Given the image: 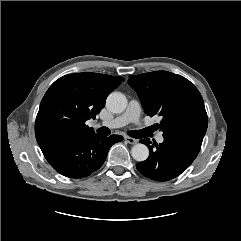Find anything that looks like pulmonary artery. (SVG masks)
I'll use <instances>...</instances> for the list:
<instances>
[{"mask_svg": "<svg viewBox=\"0 0 241 241\" xmlns=\"http://www.w3.org/2000/svg\"><path fill=\"white\" fill-rule=\"evenodd\" d=\"M141 115V106L138 101L132 100L130 101L126 111L121 114L120 116L104 122V125L118 128L127 125L128 123H138ZM156 141L158 143H163L164 137L162 133H158L156 135Z\"/></svg>", "mask_w": 241, "mask_h": 241, "instance_id": "obj_1", "label": "pulmonary artery"}]
</instances>
